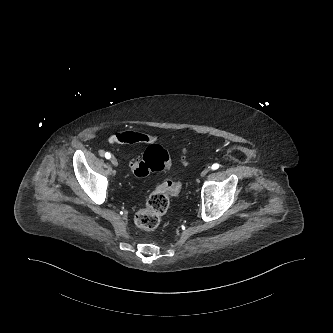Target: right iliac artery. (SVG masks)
Segmentation results:
<instances>
[{"label":"right iliac artery","instance_id":"obj_1","mask_svg":"<svg viewBox=\"0 0 333 333\" xmlns=\"http://www.w3.org/2000/svg\"><path fill=\"white\" fill-rule=\"evenodd\" d=\"M105 157H106V159H110L111 158V154L109 152H106L105 153Z\"/></svg>","mask_w":333,"mask_h":333}]
</instances>
